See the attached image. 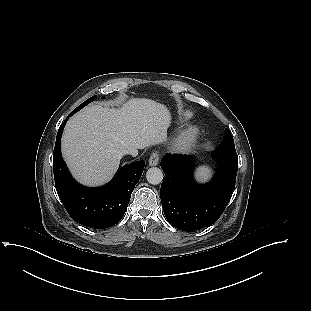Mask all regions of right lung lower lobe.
<instances>
[{"label":"right lung lower lobe","mask_w":311,"mask_h":311,"mask_svg":"<svg viewBox=\"0 0 311 311\" xmlns=\"http://www.w3.org/2000/svg\"><path fill=\"white\" fill-rule=\"evenodd\" d=\"M68 118L58 130L53 152L57 193L65 209L76 222L95 229L111 227L123 217L145 162L138 161L124 166L111 183L100 188H87L78 184L70 175L60 150L61 135Z\"/></svg>","instance_id":"obj_1"}]
</instances>
